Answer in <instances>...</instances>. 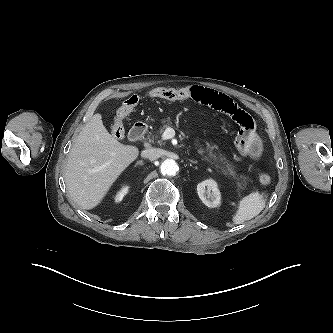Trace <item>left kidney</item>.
Instances as JSON below:
<instances>
[{
  "mask_svg": "<svg viewBox=\"0 0 333 333\" xmlns=\"http://www.w3.org/2000/svg\"><path fill=\"white\" fill-rule=\"evenodd\" d=\"M197 193L201 201L209 208L220 205L221 195L216 181L207 179L197 185Z\"/></svg>",
  "mask_w": 333,
  "mask_h": 333,
  "instance_id": "obj_1",
  "label": "left kidney"
}]
</instances>
